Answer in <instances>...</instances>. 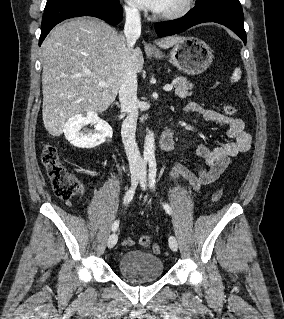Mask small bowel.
I'll list each match as a JSON object with an SVG mask.
<instances>
[{
    "label": "small bowel",
    "mask_w": 284,
    "mask_h": 319,
    "mask_svg": "<svg viewBox=\"0 0 284 319\" xmlns=\"http://www.w3.org/2000/svg\"><path fill=\"white\" fill-rule=\"evenodd\" d=\"M186 112L200 114L206 121L223 124L227 127L229 141L216 147L199 144L194 148L197 157L203 160L202 165L194 166L186 153L182 162L177 163L171 171L174 180L184 178L194 191L201 186L214 183L229 168L231 159L251 147V134L244 130V122L238 117L225 116L215 110L205 109L197 103H189Z\"/></svg>",
    "instance_id": "c3829d8e"
}]
</instances>
